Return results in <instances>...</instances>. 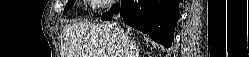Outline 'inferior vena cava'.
I'll return each mask as SVG.
<instances>
[{
  "mask_svg": "<svg viewBox=\"0 0 249 57\" xmlns=\"http://www.w3.org/2000/svg\"><path fill=\"white\" fill-rule=\"evenodd\" d=\"M118 39L122 49V57H136L135 47L130 38L123 31L118 32Z\"/></svg>",
  "mask_w": 249,
  "mask_h": 57,
  "instance_id": "602c4592",
  "label": "inferior vena cava"
}]
</instances>
